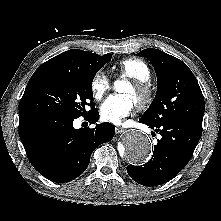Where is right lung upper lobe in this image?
<instances>
[{
  "label": "right lung upper lobe",
  "instance_id": "cb5924a9",
  "mask_svg": "<svg viewBox=\"0 0 221 221\" xmlns=\"http://www.w3.org/2000/svg\"><path fill=\"white\" fill-rule=\"evenodd\" d=\"M98 57L99 55L91 52L71 49L51 58L43 63L37 70L61 69L69 71H84L88 70Z\"/></svg>",
  "mask_w": 221,
  "mask_h": 221
}]
</instances>
